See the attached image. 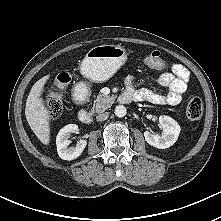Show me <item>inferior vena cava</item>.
I'll return each instance as SVG.
<instances>
[{"instance_id": "inferior-vena-cava-1", "label": "inferior vena cava", "mask_w": 221, "mask_h": 221, "mask_svg": "<svg viewBox=\"0 0 221 221\" xmlns=\"http://www.w3.org/2000/svg\"><path fill=\"white\" fill-rule=\"evenodd\" d=\"M108 117H109V113L104 112V113L97 115L96 119L97 121H105Z\"/></svg>"}]
</instances>
